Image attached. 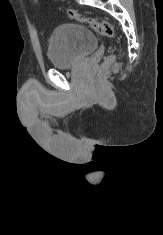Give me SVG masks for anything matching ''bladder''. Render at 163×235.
I'll return each mask as SVG.
<instances>
[{
	"instance_id": "31cf9c89",
	"label": "bladder",
	"mask_w": 163,
	"mask_h": 235,
	"mask_svg": "<svg viewBox=\"0 0 163 235\" xmlns=\"http://www.w3.org/2000/svg\"><path fill=\"white\" fill-rule=\"evenodd\" d=\"M97 47V37L87 26L77 23L62 24L51 34L48 57L54 68H69L94 52Z\"/></svg>"
}]
</instances>
